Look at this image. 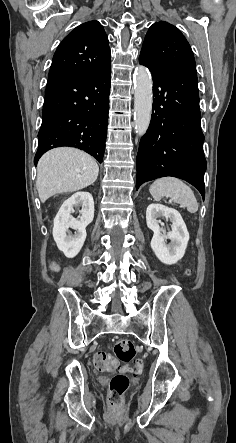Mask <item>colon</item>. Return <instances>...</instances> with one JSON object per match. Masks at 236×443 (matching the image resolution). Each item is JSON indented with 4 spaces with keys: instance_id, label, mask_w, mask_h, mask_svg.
<instances>
[{
    "instance_id": "1",
    "label": "colon",
    "mask_w": 236,
    "mask_h": 443,
    "mask_svg": "<svg viewBox=\"0 0 236 443\" xmlns=\"http://www.w3.org/2000/svg\"><path fill=\"white\" fill-rule=\"evenodd\" d=\"M188 274V273H187ZM136 349L129 339H119L113 347V354L97 352L93 356L94 366L100 371L130 370L129 364L134 361ZM134 371L140 373L144 366L140 361H135ZM129 386L128 377L124 374L115 375L109 384V401L112 405L120 404L123 394Z\"/></svg>"
}]
</instances>
